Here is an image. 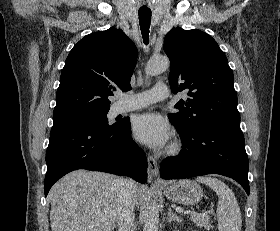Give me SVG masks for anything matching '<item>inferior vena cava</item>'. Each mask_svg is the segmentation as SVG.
Segmentation results:
<instances>
[{"mask_svg":"<svg viewBox=\"0 0 280 231\" xmlns=\"http://www.w3.org/2000/svg\"><path fill=\"white\" fill-rule=\"evenodd\" d=\"M135 181L122 177L118 181L119 195L116 203L118 231H134L135 197L133 187Z\"/></svg>","mask_w":280,"mask_h":231,"instance_id":"602c4592","label":"inferior vena cava"}]
</instances>
